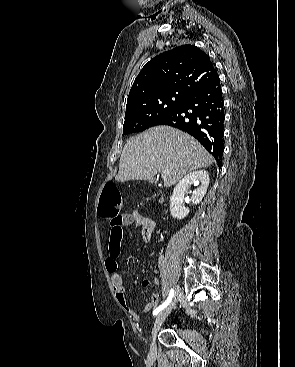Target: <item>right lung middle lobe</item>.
Here are the masks:
<instances>
[{
  "label": "right lung middle lobe",
  "instance_id": "right-lung-middle-lobe-1",
  "mask_svg": "<svg viewBox=\"0 0 295 367\" xmlns=\"http://www.w3.org/2000/svg\"><path fill=\"white\" fill-rule=\"evenodd\" d=\"M189 95L167 92L133 102L125 113L123 135L144 131L178 109Z\"/></svg>",
  "mask_w": 295,
  "mask_h": 367
}]
</instances>
